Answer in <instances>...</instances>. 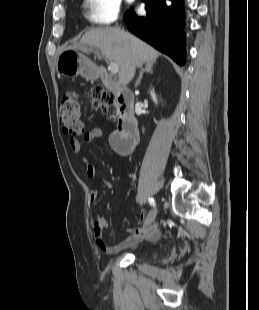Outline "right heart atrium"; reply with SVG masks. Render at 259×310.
<instances>
[{"label": "right heart atrium", "instance_id": "d8ad5b80", "mask_svg": "<svg viewBox=\"0 0 259 310\" xmlns=\"http://www.w3.org/2000/svg\"><path fill=\"white\" fill-rule=\"evenodd\" d=\"M84 10L89 22L107 26L119 18L121 0H84Z\"/></svg>", "mask_w": 259, "mask_h": 310}]
</instances>
